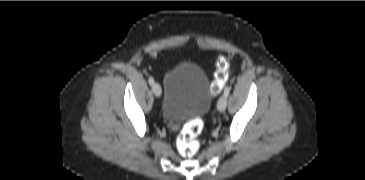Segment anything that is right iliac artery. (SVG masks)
I'll use <instances>...</instances> for the list:
<instances>
[{
    "label": "right iliac artery",
    "mask_w": 365,
    "mask_h": 180,
    "mask_svg": "<svg viewBox=\"0 0 365 180\" xmlns=\"http://www.w3.org/2000/svg\"><path fill=\"white\" fill-rule=\"evenodd\" d=\"M148 81H149V83H150L151 85H153V84H154V79H153L152 77H149Z\"/></svg>",
    "instance_id": "1"
}]
</instances>
